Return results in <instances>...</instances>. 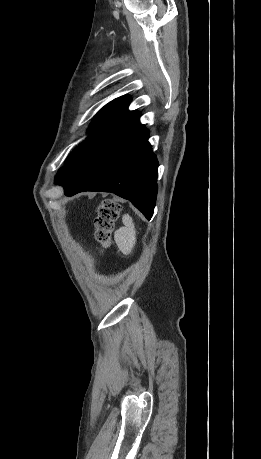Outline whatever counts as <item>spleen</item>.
<instances>
[{
	"label": "spleen",
	"instance_id": "3e777b00",
	"mask_svg": "<svg viewBox=\"0 0 261 459\" xmlns=\"http://www.w3.org/2000/svg\"><path fill=\"white\" fill-rule=\"evenodd\" d=\"M123 227L119 228L114 233V240L119 250L124 255L131 254L136 243V230L133 220L129 214L122 217Z\"/></svg>",
	"mask_w": 261,
	"mask_h": 459
}]
</instances>
